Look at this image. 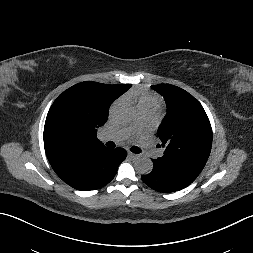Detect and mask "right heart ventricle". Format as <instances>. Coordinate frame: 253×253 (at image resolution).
<instances>
[{
  "label": "right heart ventricle",
  "mask_w": 253,
  "mask_h": 253,
  "mask_svg": "<svg viewBox=\"0 0 253 253\" xmlns=\"http://www.w3.org/2000/svg\"><path fill=\"white\" fill-rule=\"evenodd\" d=\"M130 97L135 102L136 108L140 110L157 111L160 107V101L157 97L144 91H135Z\"/></svg>",
  "instance_id": "1"
}]
</instances>
